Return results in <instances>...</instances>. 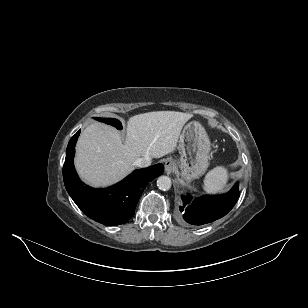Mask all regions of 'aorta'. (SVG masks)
Instances as JSON below:
<instances>
[{
    "label": "aorta",
    "instance_id": "obj_1",
    "mask_svg": "<svg viewBox=\"0 0 308 308\" xmlns=\"http://www.w3.org/2000/svg\"><path fill=\"white\" fill-rule=\"evenodd\" d=\"M172 182L168 176H160L157 179V186L160 190L166 191L171 188Z\"/></svg>",
    "mask_w": 308,
    "mask_h": 308
}]
</instances>
